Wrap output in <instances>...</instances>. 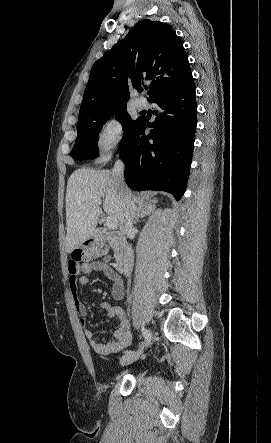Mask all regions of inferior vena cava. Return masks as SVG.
<instances>
[{"instance_id": "inferior-vena-cava-1", "label": "inferior vena cava", "mask_w": 271, "mask_h": 443, "mask_svg": "<svg viewBox=\"0 0 271 443\" xmlns=\"http://www.w3.org/2000/svg\"><path fill=\"white\" fill-rule=\"evenodd\" d=\"M124 164L121 160H117L112 170V178L114 180L115 188L123 200L124 214L120 220L121 231H134L133 222L135 218V204L132 202L131 192L128 190L124 182ZM117 269L120 273L131 275L134 265V255L131 245H127L122 249L120 255L116 257Z\"/></svg>"}]
</instances>
